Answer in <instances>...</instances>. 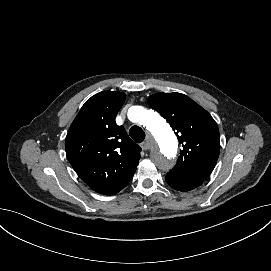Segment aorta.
<instances>
[{
  "instance_id": "aorta-1",
  "label": "aorta",
  "mask_w": 271,
  "mask_h": 271,
  "mask_svg": "<svg viewBox=\"0 0 271 271\" xmlns=\"http://www.w3.org/2000/svg\"><path fill=\"white\" fill-rule=\"evenodd\" d=\"M136 119L152 135V159L162 170H168L178 155L177 140L168 123L155 111L136 108Z\"/></svg>"
}]
</instances>
